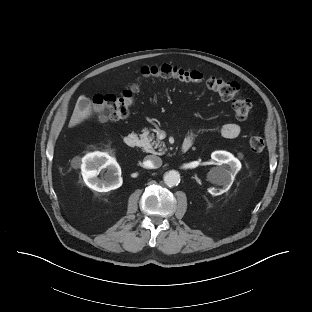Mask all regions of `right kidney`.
Wrapping results in <instances>:
<instances>
[{
    "label": "right kidney",
    "mask_w": 312,
    "mask_h": 312,
    "mask_svg": "<svg viewBox=\"0 0 312 312\" xmlns=\"http://www.w3.org/2000/svg\"><path fill=\"white\" fill-rule=\"evenodd\" d=\"M107 171L100 179V170ZM82 176L86 185L98 192H108L122 185L121 168L116 160L104 152L87 154L82 159Z\"/></svg>",
    "instance_id": "1"
}]
</instances>
